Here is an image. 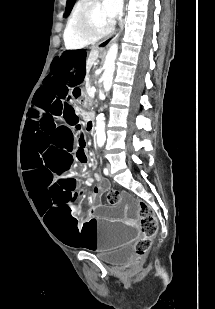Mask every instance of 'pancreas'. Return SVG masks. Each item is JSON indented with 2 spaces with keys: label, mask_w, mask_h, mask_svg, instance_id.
Wrapping results in <instances>:
<instances>
[{
  "label": "pancreas",
  "mask_w": 215,
  "mask_h": 309,
  "mask_svg": "<svg viewBox=\"0 0 215 309\" xmlns=\"http://www.w3.org/2000/svg\"><path fill=\"white\" fill-rule=\"evenodd\" d=\"M92 86V80H86V84H85V88H86V92H90L89 88H91ZM85 104H87V106H92L93 102H94V96H85V100H84Z\"/></svg>",
  "instance_id": "obj_1"
}]
</instances>
